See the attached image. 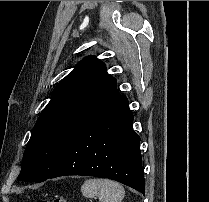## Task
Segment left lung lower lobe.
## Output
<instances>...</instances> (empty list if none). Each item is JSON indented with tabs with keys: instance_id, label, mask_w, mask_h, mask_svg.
I'll return each mask as SVG.
<instances>
[{
	"instance_id": "1",
	"label": "left lung lower lobe",
	"mask_w": 209,
	"mask_h": 202,
	"mask_svg": "<svg viewBox=\"0 0 209 202\" xmlns=\"http://www.w3.org/2000/svg\"><path fill=\"white\" fill-rule=\"evenodd\" d=\"M66 175L109 178L145 194L140 137L125 95L97 110L77 131L49 178Z\"/></svg>"
}]
</instances>
